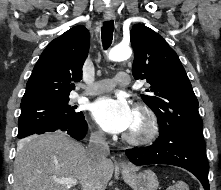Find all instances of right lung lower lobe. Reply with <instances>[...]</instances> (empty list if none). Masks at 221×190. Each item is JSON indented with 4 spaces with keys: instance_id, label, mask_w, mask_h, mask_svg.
<instances>
[{
    "instance_id": "98d812e1",
    "label": "right lung lower lobe",
    "mask_w": 221,
    "mask_h": 190,
    "mask_svg": "<svg viewBox=\"0 0 221 190\" xmlns=\"http://www.w3.org/2000/svg\"><path fill=\"white\" fill-rule=\"evenodd\" d=\"M88 130V126L85 120H83L80 124L68 128H52L47 129L45 131L39 132V134L44 132H54V131H63L68 133L72 138L76 140H81L84 138ZM23 139V138H22Z\"/></svg>"
}]
</instances>
